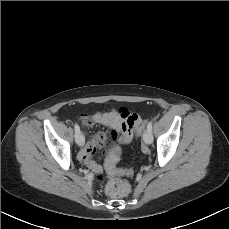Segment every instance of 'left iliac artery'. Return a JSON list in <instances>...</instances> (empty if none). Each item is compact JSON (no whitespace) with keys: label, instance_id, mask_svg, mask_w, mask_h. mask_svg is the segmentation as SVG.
Masks as SVG:
<instances>
[{"label":"left iliac artery","instance_id":"44dca946","mask_svg":"<svg viewBox=\"0 0 229 229\" xmlns=\"http://www.w3.org/2000/svg\"><path fill=\"white\" fill-rule=\"evenodd\" d=\"M147 129H148L149 131H152V121H150V122L148 123Z\"/></svg>","mask_w":229,"mask_h":229}]
</instances>
